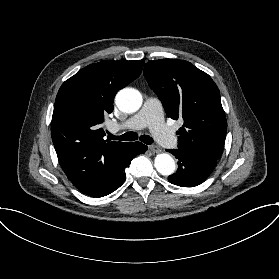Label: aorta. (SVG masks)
Instances as JSON below:
<instances>
[{"label": "aorta", "instance_id": "762f6f07", "mask_svg": "<svg viewBox=\"0 0 279 279\" xmlns=\"http://www.w3.org/2000/svg\"><path fill=\"white\" fill-rule=\"evenodd\" d=\"M117 107L125 113L136 112L142 105L141 93L134 88H124L120 90L115 98ZM154 166L156 170L164 176H169L176 169L175 161L168 153H161L155 157Z\"/></svg>", "mask_w": 279, "mask_h": 279}]
</instances>
